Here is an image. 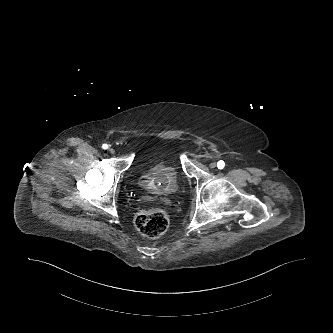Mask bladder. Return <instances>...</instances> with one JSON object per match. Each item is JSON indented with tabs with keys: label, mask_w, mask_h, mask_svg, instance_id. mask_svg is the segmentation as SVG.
Listing matches in <instances>:
<instances>
[{
	"label": "bladder",
	"mask_w": 333,
	"mask_h": 333,
	"mask_svg": "<svg viewBox=\"0 0 333 333\" xmlns=\"http://www.w3.org/2000/svg\"><path fill=\"white\" fill-rule=\"evenodd\" d=\"M180 174L171 162H156L140 176L137 184L143 190L155 195H172L180 188Z\"/></svg>",
	"instance_id": "1"
}]
</instances>
